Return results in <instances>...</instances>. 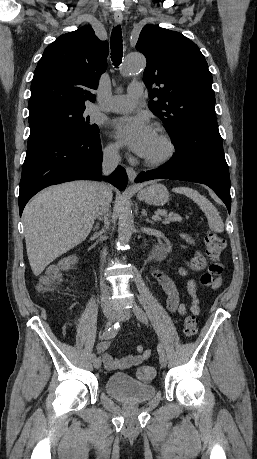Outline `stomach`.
Instances as JSON below:
<instances>
[{
  "label": "stomach",
  "instance_id": "stomach-1",
  "mask_svg": "<svg viewBox=\"0 0 257 459\" xmlns=\"http://www.w3.org/2000/svg\"><path fill=\"white\" fill-rule=\"evenodd\" d=\"M138 198L148 204L163 205L169 199V192L162 184H151L139 190Z\"/></svg>",
  "mask_w": 257,
  "mask_h": 459
}]
</instances>
